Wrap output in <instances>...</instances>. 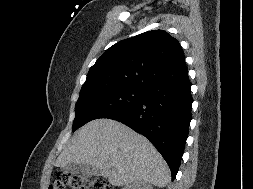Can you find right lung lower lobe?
<instances>
[{"mask_svg":"<svg viewBox=\"0 0 253 189\" xmlns=\"http://www.w3.org/2000/svg\"><path fill=\"white\" fill-rule=\"evenodd\" d=\"M190 88L189 78L151 87L138 103L107 117L143 134L169 165L172 180L179 169L192 119Z\"/></svg>","mask_w":253,"mask_h":189,"instance_id":"right-lung-lower-lobe-1","label":"right lung lower lobe"}]
</instances>
